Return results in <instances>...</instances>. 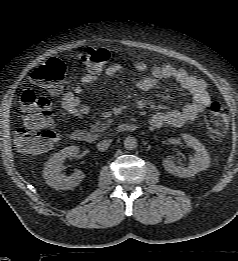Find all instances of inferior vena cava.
<instances>
[{
	"mask_svg": "<svg viewBox=\"0 0 238 261\" xmlns=\"http://www.w3.org/2000/svg\"><path fill=\"white\" fill-rule=\"evenodd\" d=\"M110 143H111V140H103L97 144V149L99 151H105L108 149Z\"/></svg>",
	"mask_w": 238,
	"mask_h": 261,
	"instance_id": "1",
	"label": "inferior vena cava"
}]
</instances>
